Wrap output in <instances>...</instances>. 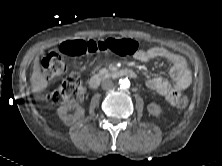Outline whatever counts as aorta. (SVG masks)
<instances>
[{
	"label": "aorta",
	"mask_w": 222,
	"mask_h": 166,
	"mask_svg": "<svg viewBox=\"0 0 222 166\" xmlns=\"http://www.w3.org/2000/svg\"><path fill=\"white\" fill-rule=\"evenodd\" d=\"M120 88L127 89L130 87V81L128 78H123L119 80Z\"/></svg>",
	"instance_id": "1"
}]
</instances>
